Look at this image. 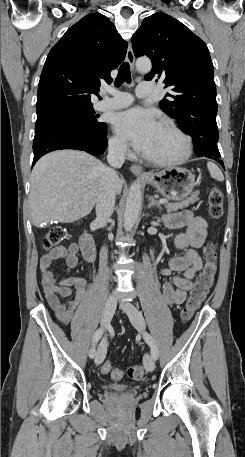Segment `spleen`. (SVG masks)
Instances as JSON below:
<instances>
[{"label": "spleen", "instance_id": "3e777b00", "mask_svg": "<svg viewBox=\"0 0 245 457\" xmlns=\"http://www.w3.org/2000/svg\"><path fill=\"white\" fill-rule=\"evenodd\" d=\"M207 168L213 178H216V180H224L223 172L215 162L209 160V162H207Z\"/></svg>", "mask_w": 245, "mask_h": 457}]
</instances>
